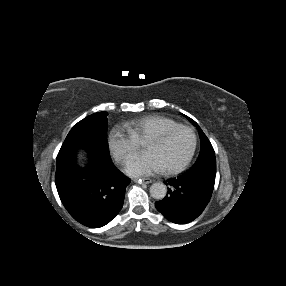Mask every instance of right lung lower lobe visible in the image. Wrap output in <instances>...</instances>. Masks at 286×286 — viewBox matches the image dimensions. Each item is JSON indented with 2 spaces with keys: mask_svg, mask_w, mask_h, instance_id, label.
<instances>
[{
  "mask_svg": "<svg viewBox=\"0 0 286 286\" xmlns=\"http://www.w3.org/2000/svg\"><path fill=\"white\" fill-rule=\"evenodd\" d=\"M55 183L71 216L85 226L99 228L121 210L130 179L109 156L90 152L85 167H80L71 152L57 156Z\"/></svg>",
  "mask_w": 286,
  "mask_h": 286,
  "instance_id": "right-lung-lower-lobe-1",
  "label": "right lung lower lobe"
}]
</instances>
